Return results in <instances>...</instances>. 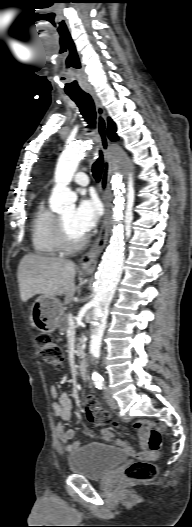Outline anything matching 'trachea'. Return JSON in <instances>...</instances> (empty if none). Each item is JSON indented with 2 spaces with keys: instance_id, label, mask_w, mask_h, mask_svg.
I'll return each instance as SVG.
<instances>
[{
  "instance_id": "1",
  "label": "trachea",
  "mask_w": 192,
  "mask_h": 527,
  "mask_svg": "<svg viewBox=\"0 0 192 527\" xmlns=\"http://www.w3.org/2000/svg\"><path fill=\"white\" fill-rule=\"evenodd\" d=\"M69 97L77 104L80 109V112L88 124V128H91L95 125L96 112L92 98L88 93H80L69 95ZM99 158L94 162L92 166L93 176L96 181H100L102 170H103V156L100 151Z\"/></svg>"
}]
</instances>
